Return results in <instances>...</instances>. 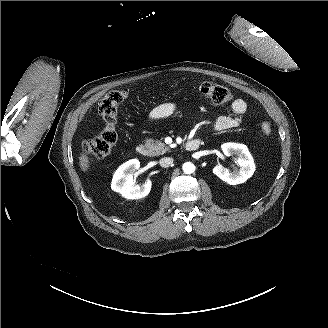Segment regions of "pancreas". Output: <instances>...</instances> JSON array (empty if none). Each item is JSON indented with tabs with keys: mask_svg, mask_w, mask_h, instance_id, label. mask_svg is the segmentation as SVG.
I'll use <instances>...</instances> for the list:
<instances>
[{
	"mask_svg": "<svg viewBox=\"0 0 328 328\" xmlns=\"http://www.w3.org/2000/svg\"><path fill=\"white\" fill-rule=\"evenodd\" d=\"M143 143L146 146L148 156L154 157L168 152L167 146L159 141L150 138H145L143 140Z\"/></svg>",
	"mask_w": 328,
	"mask_h": 328,
	"instance_id": "pancreas-1",
	"label": "pancreas"
}]
</instances>
